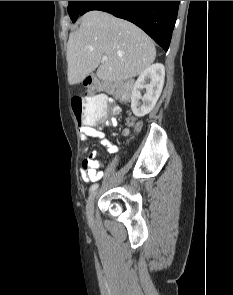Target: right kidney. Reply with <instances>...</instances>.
Masks as SVG:
<instances>
[{
  "label": "right kidney",
  "instance_id": "right-kidney-1",
  "mask_svg": "<svg viewBox=\"0 0 233 295\" xmlns=\"http://www.w3.org/2000/svg\"><path fill=\"white\" fill-rule=\"evenodd\" d=\"M165 68L160 63L147 67L132 87L131 109L136 117H143L154 108L164 85ZM146 92L142 96L141 90Z\"/></svg>",
  "mask_w": 233,
  "mask_h": 295
}]
</instances>
